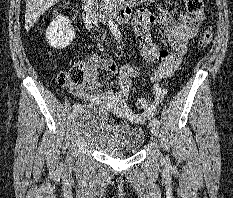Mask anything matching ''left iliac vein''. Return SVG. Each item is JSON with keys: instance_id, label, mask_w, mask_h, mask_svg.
I'll return each instance as SVG.
<instances>
[{"instance_id": "obj_1", "label": "left iliac vein", "mask_w": 233, "mask_h": 198, "mask_svg": "<svg viewBox=\"0 0 233 198\" xmlns=\"http://www.w3.org/2000/svg\"><path fill=\"white\" fill-rule=\"evenodd\" d=\"M151 133L154 137H158L159 129L158 126L153 124L152 122L149 124Z\"/></svg>"}]
</instances>
